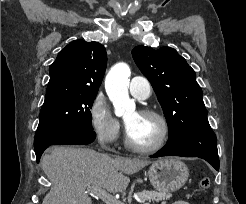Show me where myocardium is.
Listing matches in <instances>:
<instances>
[{"label": "myocardium", "instance_id": "f54148a6", "mask_svg": "<svg viewBox=\"0 0 246 204\" xmlns=\"http://www.w3.org/2000/svg\"><path fill=\"white\" fill-rule=\"evenodd\" d=\"M139 114L156 118L161 125V134L158 140L154 144L148 145V146H141V145L135 144L130 139V136L127 130L125 134V145L132 151L143 153V154L153 153V152L160 150L166 144L168 137H169V133H170V126H169V122L167 118L161 112L154 110V109H150V108H145V109L140 110Z\"/></svg>", "mask_w": 246, "mask_h": 204}]
</instances>
